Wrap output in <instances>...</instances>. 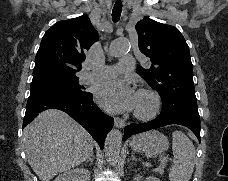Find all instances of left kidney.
<instances>
[{
	"label": "left kidney",
	"mask_w": 228,
	"mask_h": 181,
	"mask_svg": "<svg viewBox=\"0 0 228 181\" xmlns=\"http://www.w3.org/2000/svg\"><path fill=\"white\" fill-rule=\"evenodd\" d=\"M133 179L134 181H142V177H140V175H136ZM147 181H159V179H156V177H147Z\"/></svg>",
	"instance_id": "5707ae66"
}]
</instances>
